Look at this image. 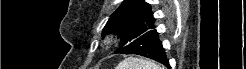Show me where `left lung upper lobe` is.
I'll list each match as a JSON object with an SVG mask.
<instances>
[{
  "label": "left lung upper lobe",
  "instance_id": "obj_1",
  "mask_svg": "<svg viewBox=\"0 0 246 69\" xmlns=\"http://www.w3.org/2000/svg\"><path fill=\"white\" fill-rule=\"evenodd\" d=\"M155 18L150 4L142 0H125L111 15L102 36L114 33L120 37V47L131 43L144 33L155 28Z\"/></svg>",
  "mask_w": 246,
  "mask_h": 69
}]
</instances>
